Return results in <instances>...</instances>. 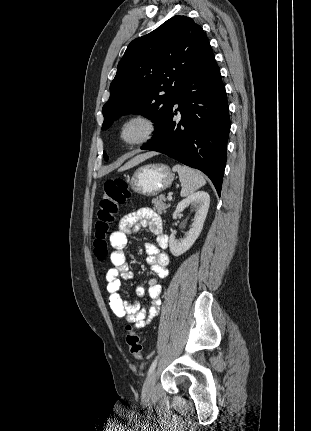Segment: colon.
<instances>
[{"label": "colon", "mask_w": 311, "mask_h": 431, "mask_svg": "<svg viewBox=\"0 0 311 431\" xmlns=\"http://www.w3.org/2000/svg\"><path fill=\"white\" fill-rule=\"evenodd\" d=\"M130 197L127 182L122 178H111L104 182L103 193L97 210L94 230V254L99 260L108 255V234L119 213L120 207ZM126 343L130 354L137 360L143 358L142 344L139 335L131 327H127Z\"/></svg>", "instance_id": "obj_1"}]
</instances>
